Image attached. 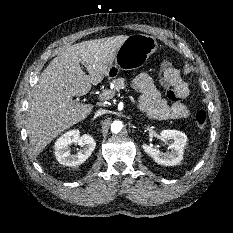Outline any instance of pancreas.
Returning <instances> with one entry per match:
<instances>
[{
	"label": "pancreas",
	"instance_id": "cf45deb5",
	"mask_svg": "<svg viewBox=\"0 0 233 233\" xmlns=\"http://www.w3.org/2000/svg\"><path fill=\"white\" fill-rule=\"evenodd\" d=\"M113 83V89L112 90H108V91H111V93L114 95L115 92H118L120 91L121 89H124L126 87L125 85V79L124 78H117V79H114L112 81Z\"/></svg>",
	"mask_w": 233,
	"mask_h": 233
}]
</instances>
